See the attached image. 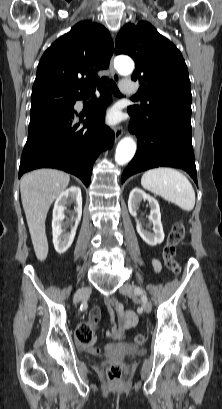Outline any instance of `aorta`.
<instances>
[{
	"label": "aorta",
	"mask_w": 222,
	"mask_h": 409,
	"mask_svg": "<svg viewBox=\"0 0 222 409\" xmlns=\"http://www.w3.org/2000/svg\"><path fill=\"white\" fill-rule=\"evenodd\" d=\"M114 67L121 75H129L134 70L133 61L125 56L114 60ZM136 152V143L131 137L123 138L117 145L115 161L118 165H125L131 161Z\"/></svg>",
	"instance_id": "obj_1"
}]
</instances>
